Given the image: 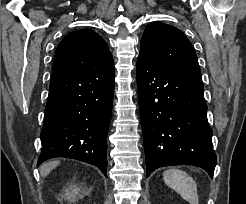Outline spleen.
Wrapping results in <instances>:
<instances>
[{"instance_id": "3e777b00", "label": "spleen", "mask_w": 246, "mask_h": 204, "mask_svg": "<svg viewBox=\"0 0 246 204\" xmlns=\"http://www.w3.org/2000/svg\"><path fill=\"white\" fill-rule=\"evenodd\" d=\"M164 182L178 192L190 204H199L197 185L194 179L180 169H168L163 173Z\"/></svg>"}]
</instances>
